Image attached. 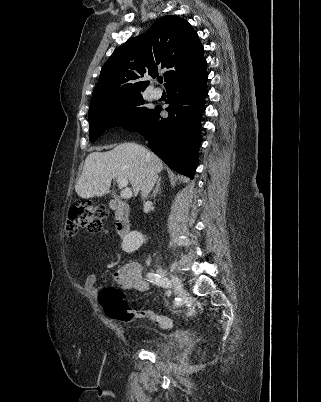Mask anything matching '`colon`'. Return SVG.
<instances>
[{"instance_id":"obj_1","label":"colon","mask_w":321,"mask_h":402,"mask_svg":"<svg viewBox=\"0 0 321 402\" xmlns=\"http://www.w3.org/2000/svg\"><path fill=\"white\" fill-rule=\"evenodd\" d=\"M108 215L106 209L93 203H76L70 207L66 220V232L74 237L81 229L89 232H98L102 221ZM99 303L104 313L111 319L129 321L134 312L132 311L127 296L117 287L108 286L99 295ZM142 317H148L164 328L172 325V320L162 315L140 313Z\"/></svg>"}]
</instances>
